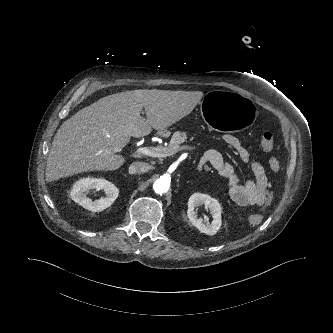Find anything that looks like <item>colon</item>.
<instances>
[{"mask_svg":"<svg viewBox=\"0 0 333 333\" xmlns=\"http://www.w3.org/2000/svg\"><path fill=\"white\" fill-rule=\"evenodd\" d=\"M274 146V136L271 132H265L260 138V148L263 153H269L272 151ZM272 195L269 194L266 198L264 208L271 205ZM263 215L261 213H254L249 216V222L252 225H258L262 222Z\"/></svg>","mask_w":333,"mask_h":333,"instance_id":"colon-1","label":"colon"}]
</instances>
